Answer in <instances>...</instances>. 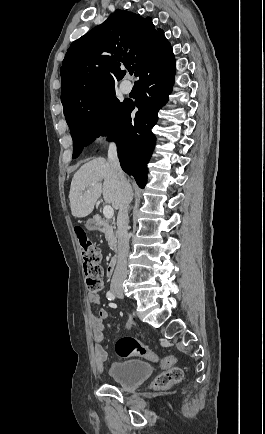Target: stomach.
<instances>
[{
	"label": "stomach",
	"instance_id": "stomach-1",
	"mask_svg": "<svg viewBox=\"0 0 265 434\" xmlns=\"http://www.w3.org/2000/svg\"><path fill=\"white\" fill-rule=\"evenodd\" d=\"M87 229H88L90 232H94V231L97 229V226H96L94 223L89 222V224H88V226H87Z\"/></svg>",
	"mask_w": 265,
	"mask_h": 434
}]
</instances>
